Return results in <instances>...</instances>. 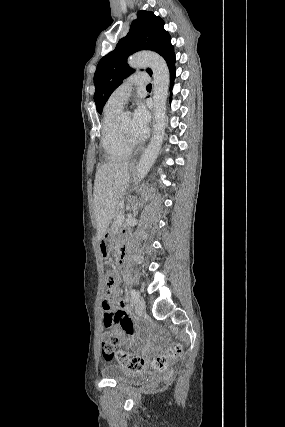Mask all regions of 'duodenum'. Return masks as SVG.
I'll return each instance as SVG.
<instances>
[{"mask_svg":"<svg viewBox=\"0 0 285 427\" xmlns=\"http://www.w3.org/2000/svg\"><path fill=\"white\" fill-rule=\"evenodd\" d=\"M127 252V246L125 244H121L118 248V257L119 259H123Z\"/></svg>","mask_w":285,"mask_h":427,"instance_id":"duodenum-1","label":"duodenum"}]
</instances>
